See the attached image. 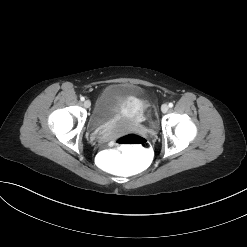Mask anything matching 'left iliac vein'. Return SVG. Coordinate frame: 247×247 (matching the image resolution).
I'll list each match as a JSON object with an SVG mask.
<instances>
[{"instance_id": "obj_1", "label": "left iliac vein", "mask_w": 247, "mask_h": 247, "mask_svg": "<svg viewBox=\"0 0 247 247\" xmlns=\"http://www.w3.org/2000/svg\"><path fill=\"white\" fill-rule=\"evenodd\" d=\"M168 109H169V106H168L167 104H163V105L161 106V111H162L163 113H166V112L168 111Z\"/></svg>"}]
</instances>
